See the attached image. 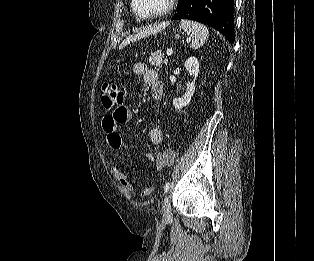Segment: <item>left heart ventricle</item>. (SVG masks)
<instances>
[{"label": "left heart ventricle", "mask_w": 314, "mask_h": 261, "mask_svg": "<svg viewBox=\"0 0 314 261\" xmlns=\"http://www.w3.org/2000/svg\"><path fill=\"white\" fill-rule=\"evenodd\" d=\"M168 0H136V8L142 14H151L162 10Z\"/></svg>", "instance_id": "b2bd125f"}]
</instances>
